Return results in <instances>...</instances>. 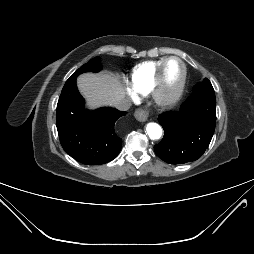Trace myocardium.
<instances>
[{
	"label": "myocardium",
	"instance_id": "myocardium-1",
	"mask_svg": "<svg viewBox=\"0 0 254 254\" xmlns=\"http://www.w3.org/2000/svg\"><path fill=\"white\" fill-rule=\"evenodd\" d=\"M170 61L179 62L182 68V72L176 87L171 91H166L164 87V72L167 64ZM186 81L187 67L184 61L177 56H170L165 58L156 72L154 82L150 90V95L153 102L160 108H170L174 106L181 99L184 93Z\"/></svg>",
	"mask_w": 254,
	"mask_h": 254
}]
</instances>
